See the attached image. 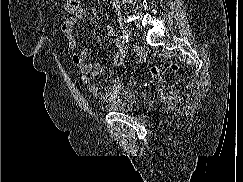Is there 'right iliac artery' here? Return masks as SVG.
I'll list each match as a JSON object with an SVG mask.
<instances>
[{
  "label": "right iliac artery",
  "instance_id": "obj_1",
  "mask_svg": "<svg viewBox=\"0 0 243 182\" xmlns=\"http://www.w3.org/2000/svg\"><path fill=\"white\" fill-rule=\"evenodd\" d=\"M119 40L122 42V43H128V41H129V38H128V36H126V35H120L119 36Z\"/></svg>",
  "mask_w": 243,
  "mask_h": 182
}]
</instances>
